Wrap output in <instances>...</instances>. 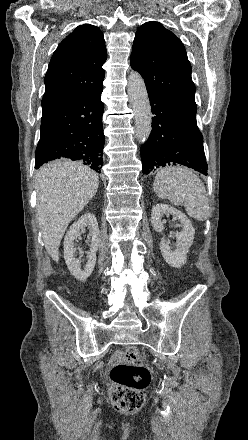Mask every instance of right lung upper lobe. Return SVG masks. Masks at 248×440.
Returning <instances> with one entry per match:
<instances>
[{
  "label": "right lung upper lobe",
  "mask_w": 248,
  "mask_h": 440,
  "mask_svg": "<svg viewBox=\"0 0 248 440\" xmlns=\"http://www.w3.org/2000/svg\"><path fill=\"white\" fill-rule=\"evenodd\" d=\"M107 51L103 33L83 24L69 34L55 50L45 76L42 109L71 97L103 88Z\"/></svg>",
  "instance_id": "cb5924a9"
}]
</instances>
